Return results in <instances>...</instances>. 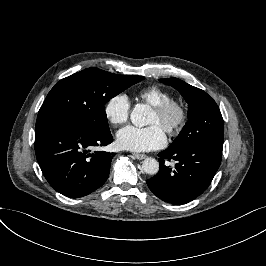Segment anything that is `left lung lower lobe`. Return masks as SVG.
Masks as SVG:
<instances>
[{
  "mask_svg": "<svg viewBox=\"0 0 266 266\" xmlns=\"http://www.w3.org/2000/svg\"><path fill=\"white\" fill-rule=\"evenodd\" d=\"M223 144L201 141L174 150L167 148L158 154L160 170L147 180L149 189L165 202L182 205L201 195L218 170ZM175 160V170L165 160Z\"/></svg>",
  "mask_w": 266,
  "mask_h": 266,
  "instance_id": "1",
  "label": "left lung lower lobe"
}]
</instances>
